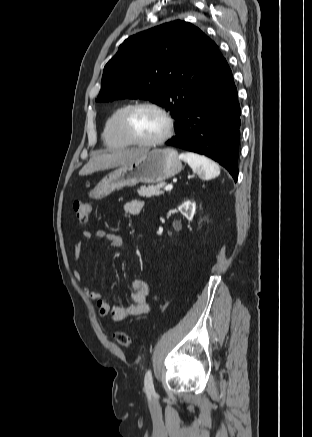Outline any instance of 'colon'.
Masks as SVG:
<instances>
[{"mask_svg": "<svg viewBox=\"0 0 312 437\" xmlns=\"http://www.w3.org/2000/svg\"><path fill=\"white\" fill-rule=\"evenodd\" d=\"M73 211L76 221L79 223H86L91 214L92 205L87 202L76 200L73 202ZM115 340L121 347L130 348L132 346V340L125 332H116Z\"/></svg>", "mask_w": 312, "mask_h": 437, "instance_id": "5ec220e1", "label": "colon"}]
</instances>
